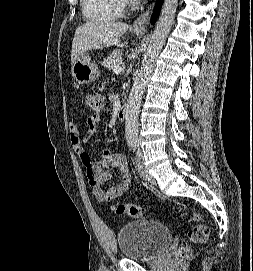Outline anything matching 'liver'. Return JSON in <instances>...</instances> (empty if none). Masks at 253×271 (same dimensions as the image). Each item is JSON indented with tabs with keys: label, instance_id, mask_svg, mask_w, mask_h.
<instances>
[{
	"label": "liver",
	"instance_id": "liver-1",
	"mask_svg": "<svg viewBox=\"0 0 253 271\" xmlns=\"http://www.w3.org/2000/svg\"><path fill=\"white\" fill-rule=\"evenodd\" d=\"M123 22H90L78 27L72 42L71 64L89 50L108 48L115 45L128 30Z\"/></svg>",
	"mask_w": 253,
	"mask_h": 271
}]
</instances>
